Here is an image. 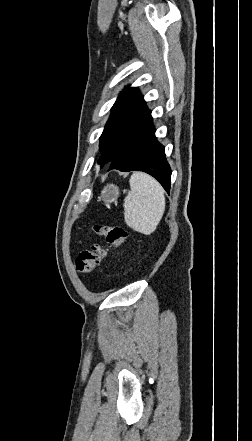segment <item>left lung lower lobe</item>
I'll return each mask as SVG.
<instances>
[{
    "mask_svg": "<svg viewBox=\"0 0 252 441\" xmlns=\"http://www.w3.org/2000/svg\"><path fill=\"white\" fill-rule=\"evenodd\" d=\"M120 171H143L156 178L169 193L171 169L167 163L164 147L155 137L151 111L145 107L132 124L115 157L110 169Z\"/></svg>",
    "mask_w": 252,
    "mask_h": 441,
    "instance_id": "0a47b994",
    "label": "left lung lower lobe"
}]
</instances>
